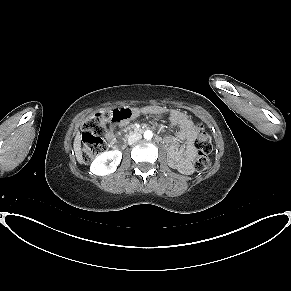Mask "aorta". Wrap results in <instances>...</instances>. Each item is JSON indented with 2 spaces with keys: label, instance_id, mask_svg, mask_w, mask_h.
Returning a JSON list of instances; mask_svg holds the SVG:
<instances>
[{
  "label": "aorta",
  "instance_id": "obj_1",
  "mask_svg": "<svg viewBox=\"0 0 291 291\" xmlns=\"http://www.w3.org/2000/svg\"><path fill=\"white\" fill-rule=\"evenodd\" d=\"M152 137H153V133H152L151 130H146V131L144 132V138H145V139L150 140V139H152Z\"/></svg>",
  "mask_w": 291,
  "mask_h": 291
}]
</instances>
